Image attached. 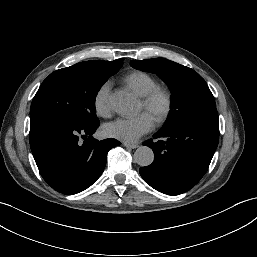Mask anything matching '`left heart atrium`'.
<instances>
[{
    "instance_id": "39dd6f15",
    "label": "left heart atrium",
    "mask_w": 257,
    "mask_h": 257,
    "mask_svg": "<svg viewBox=\"0 0 257 257\" xmlns=\"http://www.w3.org/2000/svg\"><path fill=\"white\" fill-rule=\"evenodd\" d=\"M154 126V119L148 113L143 112L133 118L122 117L105 124L104 133L110 138L133 143L151 132Z\"/></svg>"
}]
</instances>
